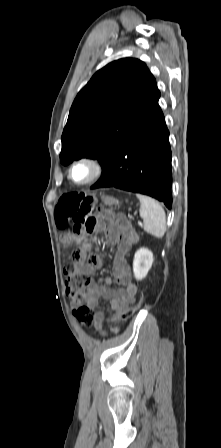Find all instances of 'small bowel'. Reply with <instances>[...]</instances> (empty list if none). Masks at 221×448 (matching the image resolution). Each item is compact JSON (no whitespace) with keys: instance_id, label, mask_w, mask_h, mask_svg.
Instances as JSON below:
<instances>
[{"instance_id":"obj_1","label":"small bowel","mask_w":221,"mask_h":448,"mask_svg":"<svg viewBox=\"0 0 221 448\" xmlns=\"http://www.w3.org/2000/svg\"><path fill=\"white\" fill-rule=\"evenodd\" d=\"M95 219L106 234L107 245L117 247L113 272L115 281L121 285L118 290H113L109 287L113 282L112 278H100L98 281L91 280L85 292V303L92 310L97 307L99 299L109 300L108 316L102 311H96L94 314V327L101 334H105L104 324H107L112 331L117 332L116 328L110 326L111 317L118 320L123 319L129 305L135 301L137 287L130 279L131 273L126 256L132 246L138 242L139 236L129 223L119 222L109 211L98 212ZM82 241V237L71 233L61 235V242L65 247H70ZM87 252L88 246L83 244L79 249L71 252V258L78 269L86 273H92L101 266L103 258L100 255H90Z\"/></svg>"}]
</instances>
